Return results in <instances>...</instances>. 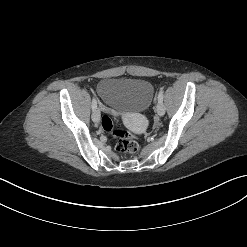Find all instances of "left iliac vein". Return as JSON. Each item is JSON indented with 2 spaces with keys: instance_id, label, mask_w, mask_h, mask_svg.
<instances>
[{
  "instance_id": "obj_1",
  "label": "left iliac vein",
  "mask_w": 247,
  "mask_h": 247,
  "mask_svg": "<svg viewBox=\"0 0 247 247\" xmlns=\"http://www.w3.org/2000/svg\"><path fill=\"white\" fill-rule=\"evenodd\" d=\"M157 114L161 117L165 114V107H164V104L163 102H158L157 103Z\"/></svg>"
}]
</instances>
